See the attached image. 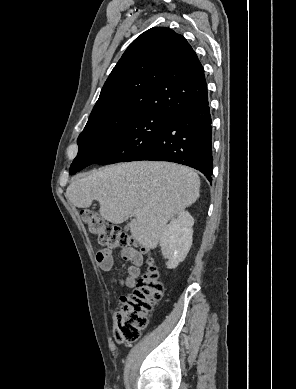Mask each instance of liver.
<instances>
[{
    "instance_id": "6515ba94",
    "label": "liver",
    "mask_w": 296,
    "mask_h": 389,
    "mask_svg": "<svg viewBox=\"0 0 296 389\" xmlns=\"http://www.w3.org/2000/svg\"><path fill=\"white\" fill-rule=\"evenodd\" d=\"M200 179L191 168L170 162L122 163L77 177L66 198L78 208L100 204L103 219L130 224L132 237L143 247H157L167 222L199 198Z\"/></svg>"
}]
</instances>
